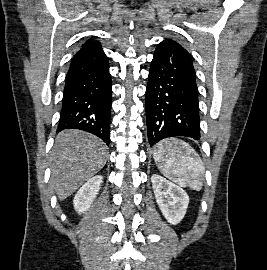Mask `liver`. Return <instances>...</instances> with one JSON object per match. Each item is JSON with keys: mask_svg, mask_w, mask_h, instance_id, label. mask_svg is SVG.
Segmentation results:
<instances>
[{"mask_svg": "<svg viewBox=\"0 0 267 270\" xmlns=\"http://www.w3.org/2000/svg\"><path fill=\"white\" fill-rule=\"evenodd\" d=\"M108 155L105 143L92 134L80 130L59 133L51 156L50 179L58 199L71 196L86 180L99 172Z\"/></svg>", "mask_w": 267, "mask_h": 270, "instance_id": "obj_1", "label": "liver"}]
</instances>
